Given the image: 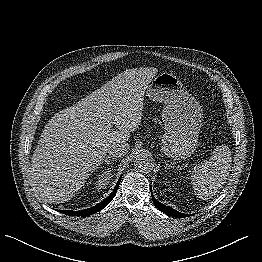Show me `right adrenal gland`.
<instances>
[{"instance_id": "2a0ac1e0", "label": "right adrenal gland", "mask_w": 262, "mask_h": 262, "mask_svg": "<svg viewBox=\"0 0 262 262\" xmlns=\"http://www.w3.org/2000/svg\"><path fill=\"white\" fill-rule=\"evenodd\" d=\"M116 158H113V157H111V156H107L105 159H104V161H103V163H105L106 165H109L110 164V161L111 160H115Z\"/></svg>"}]
</instances>
